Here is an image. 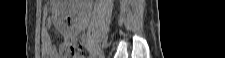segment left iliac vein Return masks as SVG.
<instances>
[{"label": "left iliac vein", "mask_w": 225, "mask_h": 58, "mask_svg": "<svg viewBox=\"0 0 225 58\" xmlns=\"http://www.w3.org/2000/svg\"><path fill=\"white\" fill-rule=\"evenodd\" d=\"M99 58H104V55L100 53Z\"/></svg>", "instance_id": "left-iliac-vein-1"}]
</instances>
